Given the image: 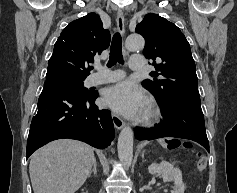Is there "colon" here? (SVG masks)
<instances>
[{"instance_id": "1", "label": "colon", "mask_w": 237, "mask_h": 193, "mask_svg": "<svg viewBox=\"0 0 237 193\" xmlns=\"http://www.w3.org/2000/svg\"><path fill=\"white\" fill-rule=\"evenodd\" d=\"M164 145L168 148H178L180 146L189 147L188 143H181L177 139H168L165 140ZM207 167V158L201 154L197 155V169L199 171H204Z\"/></svg>"}]
</instances>
